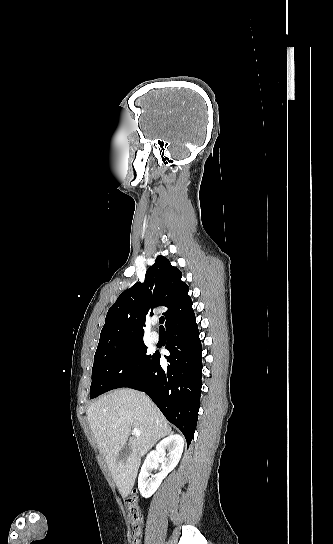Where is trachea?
I'll list each match as a JSON object with an SVG mask.
<instances>
[{"label": "trachea", "instance_id": "1", "mask_svg": "<svg viewBox=\"0 0 333 544\" xmlns=\"http://www.w3.org/2000/svg\"><path fill=\"white\" fill-rule=\"evenodd\" d=\"M159 323H160V324H163V323H164V317H163V316H161V317L159 318ZM159 328H160V330L164 329L163 325H161Z\"/></svg>", "mask_w": 333, "mask_h": 544}]
</instances>
